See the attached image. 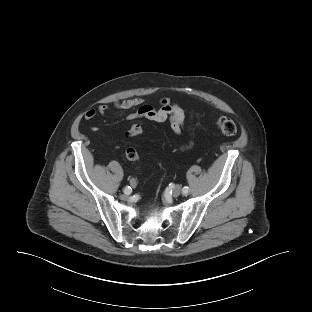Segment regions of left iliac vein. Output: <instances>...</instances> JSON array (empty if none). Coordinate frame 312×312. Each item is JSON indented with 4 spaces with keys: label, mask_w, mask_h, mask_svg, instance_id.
I'll use <instances>...</instances> for the list:
<instances>
[{
    "label": "left iliac vein",
    "mask_w": 312,
    "mask_h": 312,
    "mask_svg": "<svg viewBox=\"0 0 312 312\" xmlns=\"http://www.w3.org/2000/svg\"><path fill=\"white\" fill-rule=\"evenodd\" d=\"M181 193V188L179 186H175L173 189H172V195L174 197H178Z\"/></svg>",
    "instance_id": "left-iliac-vein-1"
}]
</instances>
